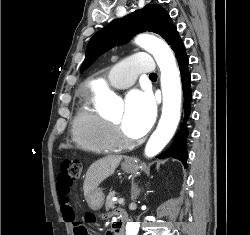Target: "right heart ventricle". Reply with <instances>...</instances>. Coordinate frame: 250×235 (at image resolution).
<instances>
[{
    "instance_id": "1",
    "label": "right heart ventricle",
    "mask_w": 250,
    "mask_h": 235,
    "mask_svg": "<svg viewBox=\"0 0 250 235\" xmlns=\"http://www.w3.org/2000/svg\"><path fill=\"white\" fill-rule=\"evenodd\" d=\"M73 138L79 148L95 153H112L121 147L111 124L94 106L91 96L83 98L72 123Z\"/></svg>"
}]
</instances>
